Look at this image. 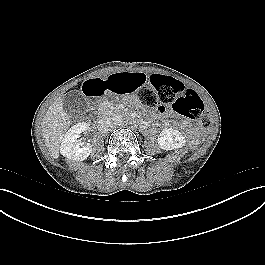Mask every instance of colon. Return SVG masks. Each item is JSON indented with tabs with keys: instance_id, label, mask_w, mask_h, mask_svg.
I'll return each instance as SVG.
<instances>
[{
	"instance_id": "1",
	"label": "colon",
	"mask_w": 265,
	"mask_h": 265,
	"mask_svg": "<svg viewBox=\"0 0 265 265\" xmlns=\"http://www.w3.org/2000/svg\"><path fill=\"white\" fill-rule=\"evenodd\" d=\"M149 85L141 87L137 93L140 103L148 108L149 118H154V111L171 106L178 114L197 120L208 127L210 117L206 112L200 96L192 89L186 88L180 81L153 73Z\"/></svg>"
}]
</instances>
